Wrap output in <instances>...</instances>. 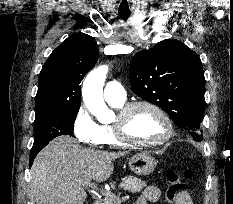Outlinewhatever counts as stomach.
<instances>
[{
    "instance_id": "1",
    "label": "stomach",
    "mask_w": 233,
    "mask_h": 204,
    "mask_svg": "<svg viewBox=\"0 0 233 204\" xmlns=\"http://www.w3.org/2000/svg\"><path fill=\"white\" fill-rule=\"evenodd\" d=\"M157 165L156 159L148 152L138 153L129 159V167L137 175L146 176L152 173Z\"/></svg>"
}]
</instances>
